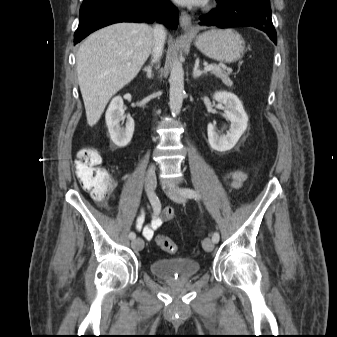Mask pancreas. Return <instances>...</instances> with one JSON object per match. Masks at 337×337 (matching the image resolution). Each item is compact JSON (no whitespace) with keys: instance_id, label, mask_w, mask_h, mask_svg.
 Returning <instances> with one entry per match:
<instances>
[{"instance_id":"pancreas-1","label":"pancreas","mask_w":337,"mask_h":337,"mask_svg":"<svg viewBox=\"0 0 337 337\" xmlns=\"http://www.w3.org/2000/svg\"><path fill=\"white\" fill-rule=\"evenodd\" d=\"M213 66L220 68V66L216 64H214ZM211 73L214 74L217 78H220L227 87L233 86V82L230 80L228 74L223 72L222 70H212Z\"/></svg>"}]
</instances>
